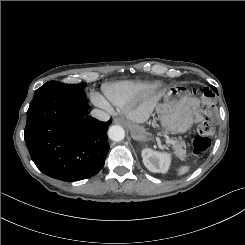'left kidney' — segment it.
<instances>
[{"label":"left kidney","mask_w":245,"mask_h":245,"mask_svg":"<svg viewBox=\"0 0 245 245\" xmlns=\"http://www.w3.org/2000/svg\"><path fill=\"white\" fill-rule=\"evenodd\" d=\"M145 167L153 173H166L171 164V154L146 148L142 150Z\"/></svg>","instance_id":"1"}]
</instances>
